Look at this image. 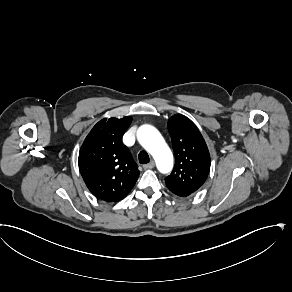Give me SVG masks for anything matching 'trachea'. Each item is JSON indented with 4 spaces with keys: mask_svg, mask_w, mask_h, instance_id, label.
<instances>
[{
    "mask_svg": "<svg viewBox=\"0 0 292 292\" xmlns=\"http://www.w3.org/2000/svg\"><path fill=\"white\" fill-rule=\"evenodd\" d=\"M138 159L141 164H147L150 161V157L146 151H141L138 154Z\"/></svg>",
    "mask_w": 292,
    "mask_h": 292,
    "instance_id": "obj_1",
    "label": "trachea"
}]
</instances>
